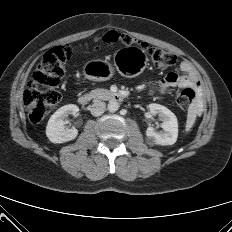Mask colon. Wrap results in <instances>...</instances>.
<instances>
[{"label": "colon", "mask_w": 232, "mask_h": 232, "mask_svg": "<svg viewBox=\"0 0 232 232\" xmlns=\"http://www.w3.org/2000/svg\"><path fill=\"white\" fill-rule=\"evenodd\" d=\"M101 41L108 45L118 42L124 45L138 44L158 68H167L177 63V56L173 52L138 41L129 34L109 31L101 38ZM72 54V47L56 46L50 49L38 64L23 94V102L31 123H40L58 103L57 89L65 75L66 63ZM194 95L191 88L183 89L176 99L178 106L181 109H187Z\"/></svg>", "instance_id": "obj_1"}]
</instances>
